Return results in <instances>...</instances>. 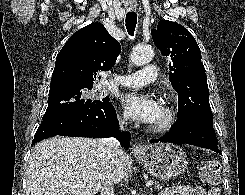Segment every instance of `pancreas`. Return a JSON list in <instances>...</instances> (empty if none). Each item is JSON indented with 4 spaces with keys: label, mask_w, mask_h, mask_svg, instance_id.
<instances>
[{
    "label": "pancreas",
    "mask_w": 245,
    "mask_h": 195,
    "mask_svg": "<svg viewBox=\"0 0 245 195\" xmlns=\"http://www.w3.org/2000/svg\"><path fill=\"white\" fill-rule=\"evenodd\" d=\"M161 187H162V186H161L160 183H155V188L159 189V188H161Z\"/></svg>",
    "instance_id": "obj_1"
}]
</instances>
